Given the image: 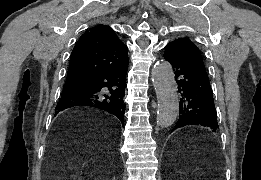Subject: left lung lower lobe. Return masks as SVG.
<instances>
[{
    "label": "left lung lower lobe",
    "instance_id": "left-lung-lower-lobe-1",
    "mask_svg": "<svg viewBox=\"0 0 261 180\" xmlns=\"http://www.w3.org/2000/svg\"><path fill=\"white\" fill-rule=\"evenodd\" d=\"M164 58L173 67L180 95L179 119L172 131L187 125L206 126L215 131L217 113L206 69L170 44L165 47Z\"/></svg>",
    "mask_w": 261,
    "mask_h": 180
}]
</instances>
